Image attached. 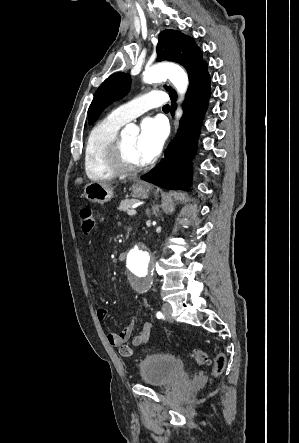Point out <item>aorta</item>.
Returning <instances> with one entry per match:
<instances>
[{"label": "aorta", "instance_id": "obj_1", "mask_svg": "<svg viewBox=\"0 0 299 443\" xmlns=\"http://www.w3.org/2000/svg\"><path fill=\"white\" fill-rule=\"evenodd\" d=\"M169 79L178 93L183 96L188 87V76L186 72L175 64H157L148 68L143 73V80L146 83L161 82ZM181 110H177L176 116L180 117ZM139 129L134 124H128L122 133H138ZM151 254L141 243L136 244L128 253L126 265L129 271L139 279V288L147 284Z\"/></svg>", "mask_w": 299, "mask_h": 443}]
</instances>
